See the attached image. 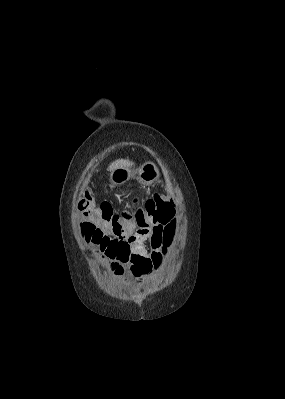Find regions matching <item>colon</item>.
I'll list each match as a JSON object with an SVG mask.
<instances>
[{
    "label": "colon",
    "mask_w": 285,
    "mask_h": 399,
    "mask_svg": "<svg viewBox=\"0 0 285 399\" xmlns=\"http://www.w3.org/2000/svg\"><path fill=\"white\" fill-rule=\"evenodd\" d=\"M126 206L130 209V214L122 216L114 212L110 203L98 204L89 191H84L79 196L78 207L88 216V220L81 223L80 230L84 233L87 242L97 245L102 257L113 262L118 272L119 263H129L137 277L148 275L154 268H159L160 254H154L150 259L134 254L129 243L117 237V231L120 225L130 217L135 218L137 226H141L145 224L149 215H153L155 227L164 228L165 238L168 240L174 206L172 202L159 195L146 200L134 196ZM93 221H97L99 225Z\"/></svg>",
    "instance_id": "5ec220e1"
}]
</instances>
